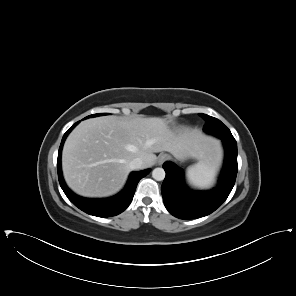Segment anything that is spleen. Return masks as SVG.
<instances>
[{"label":"spleen","instance_id":"spleen-1","mask_svg":"<svg viewBox=\"0 0 296 296\" xmlns=\"http://www.w3.org/2000/svg\"><path fill=\"white\" fill-rule=\"evenodd\" d=\"M221 159L219 147L214 156L199 161L186 170V179L189 185L205 189L214 184L215 176Z\"/></svg>","mask_w":296,"mask_h":296}]
</instances>
